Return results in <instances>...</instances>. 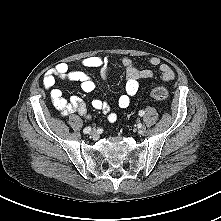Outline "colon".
<instances>
[{"instance_id": "colon-1", "label": "colon", "mask_w": 221, "mask_h": 221, "mask_svg": "<svg viewBox=\"0 0 221 221\" xmlns=\"http://www.w3.org/2000/svg\"><path fill=\"white\" fill-rule=\"evenodd\" d=\"M150 96L157 101H165L168 98V90L163 86H156L150 90Z\"/></svg>"}]
</instances>
